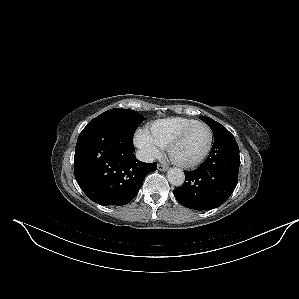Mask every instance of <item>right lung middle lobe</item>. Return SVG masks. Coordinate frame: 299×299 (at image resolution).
Masks as SVG:
<instances>
[{"instance_id":"obj_1","label":"right lung middle lobe","mask_w":299,"mask_h":299,"mask_svg":"<svg viewBox=\"0 0 299 299\" xmlns=\"http://www.w3.org/2000/svg\"><path fill=\"white\" fill-rule=\"evenodd\" d=\"M92 120L112 122L130 135H133L138 125L144 120V117L134 110L114 108L100 114Z\"/></svg>"}]
</instances>
